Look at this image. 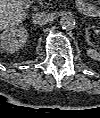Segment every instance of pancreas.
Returning <instances> with one entry per match:
<instances>
[{
  "label": "pancreas",
  "instance_id": "1",
  "mask_svg": "<svg viewBox=\"0 0 100 118\" xmlns=\"http://www.w3.org/2000/svg\"><path fill=\"white\" fill-rule=\"evenodd\" d=\"M39 4L41 5V7H48V4H43L42 0H39Z\"/></svg>",
  "mask_w": 100,
  "mask_h": 118
}]
</instances>
